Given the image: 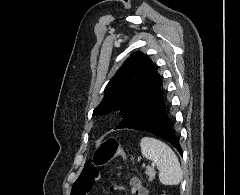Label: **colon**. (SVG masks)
I'll use <instances>...</instances> for the list:
<instances>
[{
  "instance_id": "colon-1",
  "label": "colon",
  "mask_w": 240,
  "mask_h": 195,
  "mask_svg": "<svg viewBox=\"0 0 240 195\" xmlns=\"http://www.w3.org/2000/svg\"><path fill=\"white\" fill-rule=\"evenodd\" d=\"M120 144L117 139L113 137L106 138L102 145L98 146L94 159L98 165H104L111 161L120 152ZM85 174L90 178V181L95 180L98 177L96 169L88 166L86 168ZM74 191L72 195H88L90 191V186H74Z\"/></svg>"
}]
</instances>
